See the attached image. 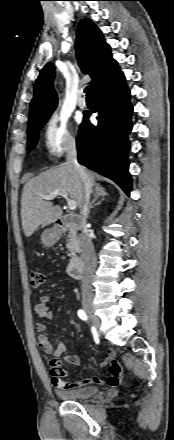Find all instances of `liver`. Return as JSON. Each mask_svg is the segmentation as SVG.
<instances>
[{
    "label": "liver",
    "mask_w": 174,
    "mask_h": 440,
    "mask_svg": "<svg viewBox=\"0 0 174 440\" xmlns=\"http://www.w3.org/2000/svg\"><path fill=\"white\" fill-rule=\"evenodd\" d=\"M91 186L95 185V174L85 170ZM64 190L82 209L84 202V183L75 166L64 163L30 179L23 188L21 199L22 228L26 237H30L41 225L45 227L62 215L61 207L44 200L55 190Z\"/></svg>",
    "instance_id": "1"
}]
</instances>
